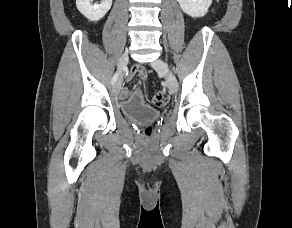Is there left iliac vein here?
Returning a JSON list of instances; mask_svg holds the SVG:
<instances>
[{
  "mask_svg": "<svg viewBox=\"0 0 292 228\" xmlns=\"http://www.w3.org/2000/svg\"><path fill=\"white\" fill-rule=\"evenodd\" d=\"M152 67L165 77L169 91L175 94L178 91V82L168 65L163 60L157 59L152 63Z\"/></svg>",
  "mask_w": 292,
  "mask_h": 228,
  "instance_id": "obj_1",
  "label": "left iliac vein"
}]
</instances>
